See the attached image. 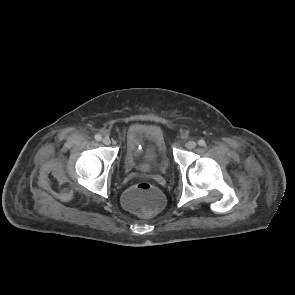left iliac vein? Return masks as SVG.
Segmentation results:
<instances>
[{
	"label": "left iliac vein",
	"mask_w": 295,
	"mask_h": 295,
	"mask_svg": "<svg viewBox=\"0 0 295 295\" xmlns=\"http://www.w3.org/2000/svg\"><path fill=\"white\" fill-rule=\"evenodd\" d=\"M196 146H197V143L195 141H192V140L188 141L187 144H186V147L188 149H194Z\"/></svg>",
	"instance_id": "left-iliac-vein-1"
}]
</instances>
